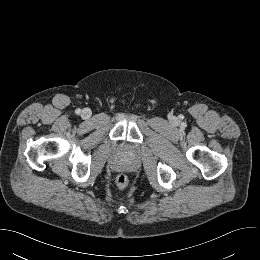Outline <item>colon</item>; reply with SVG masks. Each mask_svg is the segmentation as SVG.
Segmentation results:
<instances>
[{"mask_svg":"<svg viewBox=\"0 0 260 260\" xmlns=\"http://www.w3.org/2000/svg\"><path fill=\"white\" fill-rule=\"evenodd\" d=\"M129 183L128 177L125 174H120L116 178V185L120 189H124L127 187Z\"/></svg>","mask_w":260,"mask_h":260,"instance_id":"obj_1","label":"colon"}]
</instances>
